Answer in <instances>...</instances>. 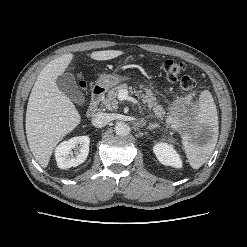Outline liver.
Wrapping results in <instances>:
<instances>
[{"instance_id":"obj_1","label":"liver","mask_w":247,"mask_h":247,"mask_svg":"<svg viewBox=\"0 0 247 247\" xmlns=\"http://www.w3.org/2000/svg\"><path fill=\"white\" fill-rule=\"evenodd\" d=\"M124 52L104 50L92 52L97 61L116 58ZM74 55L64 54L50 61L40 72L29 96L26 110V136L30 150L46 168L54 148L81 121V116L71 100L56 85V78L63 74Z\"/></svg>"}]
</instances>
